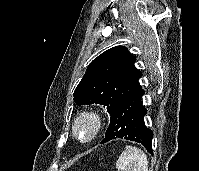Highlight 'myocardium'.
Segmentation results:
<instances>
[{
    "instance_id": "1",
    "label": "myocardium",
    "mask_w": 199,
    "mask_h": 171,
    "mask_svg": "<svg viewBox=\"0 0 199 171\" xmlns=\"http://www.w3.org/2000/svg\"><path fill=\"white\" fill-rule=\"evenodd\" d=\"M87 124L90 127L89 135L85 138L80 136L79 127ZM103 127L102 115L95 109H85L79 112L73 119L71 132L73 137L80 143L88 144L94 141Z\"/></svg>"
}]
</instances>
